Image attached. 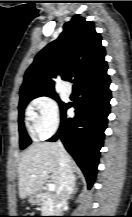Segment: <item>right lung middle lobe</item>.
<instances>
[{
	"instance_id": "right-lung-middle-lobe-1",
	"label": "right lung middle lobe",
	"mask_w": 132,
	"mask_h": 217,
	"mask_svg": "<svg viewBox=\"0 0 132 217\" xmlns=\"http://www.w3.org/2000/svg\"><path fill=\"white\" fill-rule=\"evenodd\" d=\"M44 96H48V97H51V98H54L55 100H57L59 105H60L61 111L66 107V104L61 102L56 94L44 95ZM36 97H39V96L24 97V98H21L20 102H19V107H18V109H19V118H18V122H19L20 148L21 149H24V148H26L27 146H29L31 144V139L27 135V133L25 131V128H24L23 117H24V109H25L26 105L28 104L29 101H31L32 99H34Z\"/></svg>"
}]
</instances>
